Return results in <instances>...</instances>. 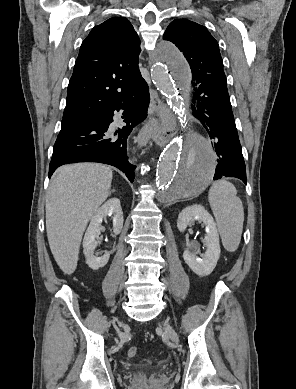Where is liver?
I'll return each instance as SVG.
<instances>
[{
	"mask_svg": "<svg viewBox=\"0 0 296 389\" xmlns=\"http://www.w3.org/2000/svg\"><path fill=\"white\" fill-rule=\"evenodd\" d=\"M113 174L98 163L59 167L46 197V231L55 261L65 274H72L86 226L110 194Z\"/></svg>",
	"mask_w": 296,
	"mask_h": 389,
	"instance_id": "liver-1",
	"label": "liver"
}]
</instances>
